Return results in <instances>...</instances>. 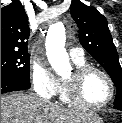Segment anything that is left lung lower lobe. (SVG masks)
<instances>
[{
  "label": "left lung lower lobe",
  "instance_id": "0a47b994",
  "mask_svg": "<svg viewBox=\"0 0 122 123\" xmlns=\"http://www.w3.org/2000/svg\"><path fill=\"white\" fill-rule=\"evenodd\" d=\"M114 109L122 111V105H114Z\"/></svg>",
  "mask_w": 122,
  "mask_h": 123
}]
</instances>
